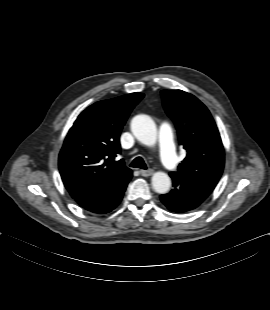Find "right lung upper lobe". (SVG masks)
<instances>
[{
	"label": "right lung upper lobe",
	"mask_w": 270,
	"mask_h": 310,
	"mask_svg": "<svg viewBox=\"0 0 270 310\" xmlns=\"http://www.w3.org/2000/svg\"><path fill=\"white\" fill-rule=\"evenodd\" d=\"M132 93L94 103L70 128L59 155V170L72 198L94 192L130 171L120 153V133L130 112L143 98Z\"/></svg>",
	"instance_id": "1"
}]
</instances>
